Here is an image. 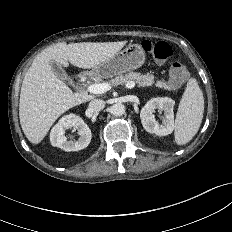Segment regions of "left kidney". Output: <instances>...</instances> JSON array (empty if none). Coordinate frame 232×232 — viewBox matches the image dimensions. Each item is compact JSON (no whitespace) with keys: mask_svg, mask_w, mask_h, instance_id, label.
Wrapping results in <instances>:
<instances>
[{"mask_svg":"<svg viewBox=\"0 0 232 232\" xmlns=\"http://www.w3.org/2000/svg\"><path fill=\"white\" fill-rule=\"evenodd\" d=\"M175 102L168 97H157L150 99L141 109L140 118L144 129L158 136H166L174 130V108ZM155 109L163 110L165 118L160 125L155 121L153 112Z\"/></svg>","mask_w":232,"mask_h":232,"instance_id":"left-kidney-1","label":"left kidney"}]
</instances>
